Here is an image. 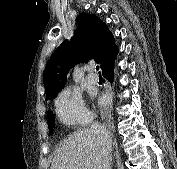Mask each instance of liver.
<instances>
[{
  "label": "liver",
  "instance_id": "6515ba94",
  "mask_svg": "<svg viewBox=\"0 0 177 169\" xmlns=\"http://www.w3.org/2000/svg\"><path fill=\"white\" fill-rule=\"evenodd\" d=\"M102 156L96 135L81 130L68 136L58 149L50 169H101Z\"/></svg>",
  "mask_w": 177,
  "mask_h": 169
}]
</instances>
